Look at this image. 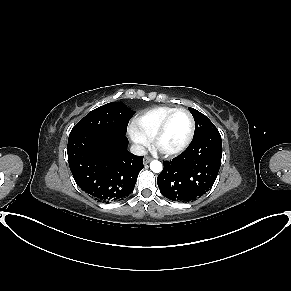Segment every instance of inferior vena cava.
<instances>
[{
  "instance_id": "602c4592",
  "label": "inferior vena cava",
  "mask_w": 291,
  "mask_h": 291,
  "mask_svg": "<svg viewBox=\"0 0 291 291\" xmlns=\"http://www.w3.org/2000/svg\"><path fill=\"white\" fill-rule=\"evenodd\" d=\"M130 151L138 156H143L147 153L144 146L135 144L130 147Z\"/></svg>"
}]
</instances>
